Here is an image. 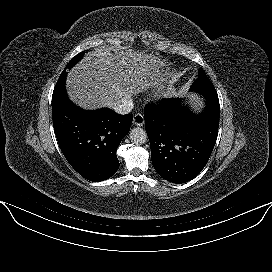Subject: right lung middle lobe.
<instances>
[{"label":"right lung middle lobe","instance_id":"obj_1","mask_svg":"<svg viewBox=\"0 0 272 272\" xmlns=\"http://www.w3.org/2000/svg\"><path fill=\"white\" fill-rule=\"evenodd\" d=\"M85 51L79 53L78 55H76L66 66V68L63 70V72L61 73L56 85H55V88H54V91L53 93H56L58 92L59 90H61L64 86H65V78L67 76V72L66 70L67 69H71L78 61L81 60V58L83 57Z\"/></svg>","mask_w":272,"mask_h":272}]
</instances>
